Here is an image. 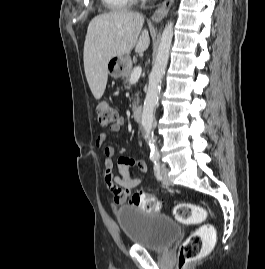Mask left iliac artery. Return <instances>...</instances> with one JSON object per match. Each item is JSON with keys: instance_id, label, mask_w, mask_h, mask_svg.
<instances>
[{"instance_id": "44dca946", "label": "left iliac artery", "mask_w": 265, "mask_h": 269, "mask_svg": "<svg viewBox=\"0 0 265 269\" xmlns=\"http://www.w3.org/2000/svg\"><path fill=\"white\" fill-rule=\"evenodd\" d=\"M154 173L155 176L158 180H161V175H160V164L158 161L154 162Z\"/></svg>"}]
</instances>
